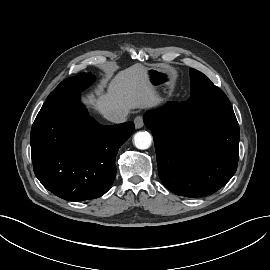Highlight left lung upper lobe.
I'll list each match as a JSON object with an SVG mask.
<instances>
[{
    "label": "left lung upper lobe",
    "mask_w": 270,
    "mask_h": 270,
    "mask_svg": "<svg viewBox=\"0 0 270 270\" xmlns=\"http://www.w3.org/2000/svg\"><path fill=\"white\" fill-rule=\"evenodd\" d=\"M191 90L196 92L205 110L211 108H230L231 104L225 93L215 86L203 73L190 69Z\"/></svg>",
    "instance_id": "1"
}]
</instances>
